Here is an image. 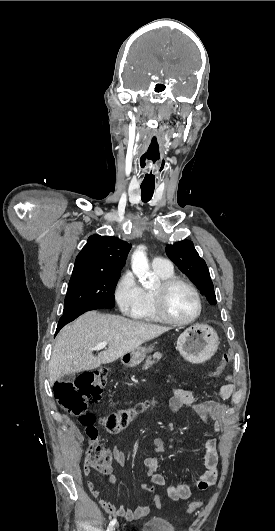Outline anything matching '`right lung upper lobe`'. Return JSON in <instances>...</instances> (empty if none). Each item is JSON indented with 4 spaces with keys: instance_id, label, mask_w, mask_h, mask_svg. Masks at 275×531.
<instances>
[{
    "instance_id": "cb5924a9",
    "label": "right lung upper lobe",
    "mask_w": 275,
    "mask_h": 531,
    "mask_svg": "<svg viewBox=\"0 0 275 531\" xmlns=\"http://www.w3.org/2000/svg\"><path fill=\"white\" fill-rule=\"evenodd\" d=\"M131 244L117 237L92 235L78 254L72 276L108 273L121 274Z\"/></svg>"
}]
</instances>
